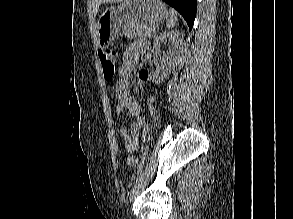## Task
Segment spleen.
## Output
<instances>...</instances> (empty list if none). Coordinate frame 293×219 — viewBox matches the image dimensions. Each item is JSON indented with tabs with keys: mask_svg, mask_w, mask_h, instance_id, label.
<instances>
[{
	"mask_svg": "<svg viewBox=\"0 0 293 219\" xmlns=\"http://www.w3.org/2000/svg\"><path fill=\"white\" fill-rule=\"evenodd\" d=\"M177 21H178L177 13L175 12V10L170 9L169 10V18H168V20L166 22L167 28L174 27L175 24L177 23Z\"/></svg>",
	"mask_w": 293,
	"mask_h": 219,
	"instance_id": "1",
	"label": "spleen"
}]
</instances>
